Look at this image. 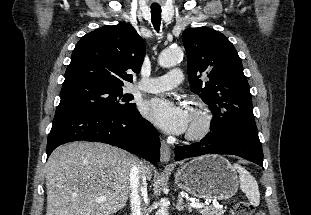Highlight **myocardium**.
<instances>
[{
	"label": "myocardium",
	"instance_id": "1",
	"mask_svg": "<svg viewBox=\"0 0 311 215\" xmlns=\"http://www.w3.org/2000/svg\"><path fill=\"white\" fill-rule=\"evenodd\" d=\"M189 110L192 116V123L186 132V139L189 141H200L211 131L213 115L202 104L193 105Z\"/></svg>",
	"mask_w": 311,
	"mask_h": 215
}]
</instances>
